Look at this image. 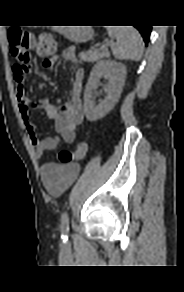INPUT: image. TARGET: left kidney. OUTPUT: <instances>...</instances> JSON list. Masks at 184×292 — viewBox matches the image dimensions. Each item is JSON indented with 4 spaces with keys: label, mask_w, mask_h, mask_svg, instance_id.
Returning <instances> with one entry per match:
<instances>
[{
    "label": "left kidney",
    "mask_w": 184,
    "mask_h": 292,
    "mask_svg": "<svg viewBox=\"0 0 184 292\" xmlns=\"http://www.w3.org/2000/svg\"><path fill=\"white\" fill-rule=\"evenodd\" d=\"M102 76L107 78L109 83L105 88V98L96 104L92 101V95L98 88ZM125 78L126 67L121 63L108 59L94 65L84 91V113L88 121L103 118L115 106L122 92Z\"/></svg>",
    "instance_id": "1"
}]
</instances>
